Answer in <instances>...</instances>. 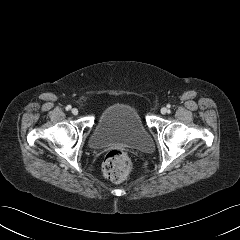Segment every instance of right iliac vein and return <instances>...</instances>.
Segmentation results:
<instances>
[{"label": "right iliac vein", "mask_w": 240, "mask_h": 240, "mask_svg": "<svg viewBox=\"0 0 240 240\" xmlns=\"http://www.w3.org/2000/svg\"><path fill=\"white\" fill-rule=\"evenodd\" d=\"M71 112H72L73 115H77L78 114V109L77 108H73L71 110Z\"/></svg>", "instance_id": "1"}]
</instances>
